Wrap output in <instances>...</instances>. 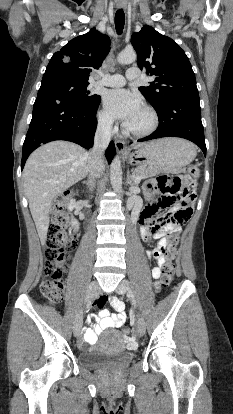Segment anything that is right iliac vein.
<instances>
[{"label":"right iliac vein","instance_id":"right-iliac-vein-1","mask_svg":"<svg viewBox=\"0 0 233 414\" xmlns=\"http://www.w3.org/2000/svg\"><path fill=\"white\" fill-rule=\"evenodd\" d=\"M99 293V285L96 281H92L87 289V293H86V301H90L93 300ZM82 328V311H80L73 323V333L74 335H78V333L80 332Z\"/></svg>","mask_w":233,"mask_h":414}]
</instances>
